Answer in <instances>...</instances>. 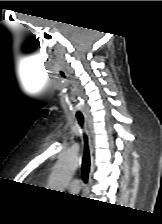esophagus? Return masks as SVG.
<instances>
[{
	"label": "esophagus",
	"mask_w": 162,
	"mask_h": 224,
	"mask_svg": "<svg viewBox=\"0 0 162 224\" xmlns=\"http://www.w3.org/2000/svg\"><path fill=\"white\" fill-rule=\"evenodd\" d=\"M87 122H88L89 136H90V151H91V169H90V172L92 173L93 170H94V161H95V133H94L92 119L88 118Z\"/></svg>",
	"instance_id": "34e87169"
}]
</instances>
